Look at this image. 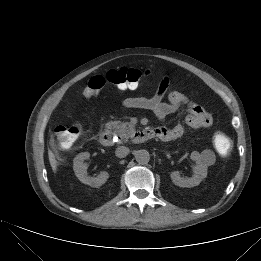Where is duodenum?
<instances>
[{"label":"duodenum","mask_w":261,"mask_h":261,"mask_svg":"<svg viewBox=\"0 0 261 261\" xmlns=\"http://www.w3.org/2000/svg\"><path fill=\"white\" fill-rule=\"evenodd\" d=\"M158 131L156 129L140 131L135 134V142L142 143L147 140L158 138ZM99 140L104 146H111L114 144V136L109 130H103L99 134Z\"/></svg>","instance_id":"410a0bca"}]
</instances>
